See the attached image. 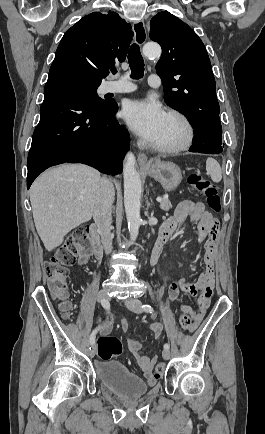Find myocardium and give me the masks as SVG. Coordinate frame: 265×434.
I'll return each mask as SVG.
<instances>
[{
	"label": "myocardium",
	"instance_id": "1",
	"mask_svg": "<svg viewBox=\"0 0 265 434\" xmlns=\"http://www.w3.org/2000/svg\"><path fill=\"white\" fill-rule=\"evenodd\" d=\"M166 116L171 119H175L178 121L182 127V138L181 140L170 147H159L154 144L151 145V148L154 152L162 155H178L184 151H186L192 145L194 139V128L189 120V118L180 110L170 109Z\"/></svg>",
	"mask_w": 265,
	"mask_h": 434
}]
</instances>
